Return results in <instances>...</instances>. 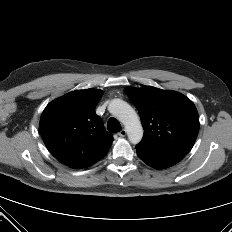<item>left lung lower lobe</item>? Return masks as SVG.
<instances>
[{"mask_svg":"<svg viewBox=\"0 0 232 232\" xmlns=\"http://www.w3.org/2000/svg\"><path fill=\"white\" fill-rule=\"evenodd\" d=\"M138 156L149 166L156 169H164L171 167L181 161L184 155H147L137 152Z\"/></svg>","mask_w":232,"mask_h":232,"instance_id":"left-lung-lower-lobe-1","label":"left lung lower lobe"}]
</instances>
